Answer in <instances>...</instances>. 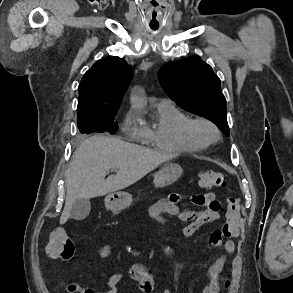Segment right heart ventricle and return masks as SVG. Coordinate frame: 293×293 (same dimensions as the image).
Here are the masks:
<instances>
[{
	"label": "right heart ventricle",
	"instance_id": "e07e8e85",
	"mask_svg": "<svg viewBox=\"0 0 293 293\" xmlns=\"http://www.w3.org/2000/svg\"><path fill=\"white\" fill-rule=\"evenodd\" d=\"M190 117L173 103L157 106L151 127L141 126V137L155 149L169 152H195L200 148L191 143L185 132Z\"/></svg>",
	"mask_w": 293,
	"mask_h": 293
}]
</instances>
